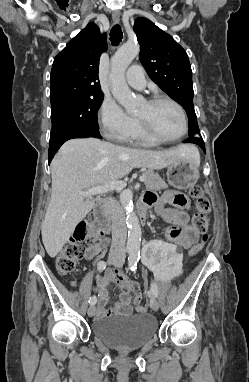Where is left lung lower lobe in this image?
<instances>
[{
  "label": "left lung lower lobe",
  "instance_id": "0a47b994",
  "mask_svg": "<svg viewBox=\"0 0 249 382\" xmlns=\"http://www.w3.org/2000/svg\"><path fill=\"white\" fill-rule=\"evenodd\" d=\"M184 143H194V144H197L199 145L203 151L206 153L205 151V144H204V141L202 140V138H199L198 136H194V137H189L188 139H186L184 141Z\"/></svg>",
  "mask_w": 249,
  "mask_h": 382
}]
</instances>
